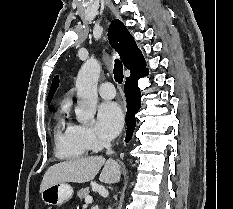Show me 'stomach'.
Returning a JSON list of instances; mask_svg holds the SVG:
<instances>
[{
    "label": "stomach",
    "instance_id": "1",
    "mask_svg": "<svg viewBox=\"0 0 233 209\" xmlns=\"http://www.w3.org/2000/svg\"><path fill=\"white\" fill-rule=\"evenodd\" d=\"M73 188L66 182L53 184L41 192V199L47 205L60 206L73 196Z\"/></svg>",
    "mask_w": 233,
    "mask_h": 209
}]
</instances>
